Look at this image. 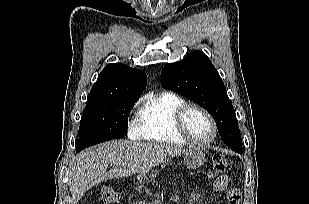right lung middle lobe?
I'll list each match as a JSON object with an SVG mask.
<instances>
[{
  "instance_id": "dd1d6c3e",
  "label": "right lung middle lobe",
  "mask_w": 309,
  "mask_h": 204,
  "mask_svg": "<svg viewBox=\"0 0 309 204\" xmlns=\"http://www.w3.org/2000/svg\"><path fill=\"white\" fill-rule=\"evenodd\" d=\"M138 99L119 98L86 104L76 152L127 135L128 115Z\"/></svg>"
}]
</instances>
